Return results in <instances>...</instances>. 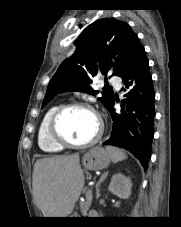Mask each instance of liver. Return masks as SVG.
Listing matches in <instances>:
<instances>
[{"instance_id":"6515ba94","label":"liver","mask_w":181,"mask_h":227,"mask_svg":"<svg viewBox=\"0 0 181 227\" xmlns=\"http://www.w3.org/2000/svg\"><path fill=\"white\" fill-rule=\"evenodd\" d=\"M32 185L36 205L44 217H67L84 186L79 154L37 160Z\"/></svg>"}]
</instances>
